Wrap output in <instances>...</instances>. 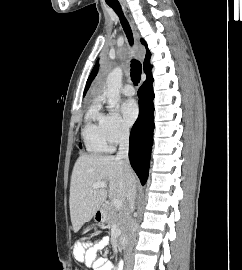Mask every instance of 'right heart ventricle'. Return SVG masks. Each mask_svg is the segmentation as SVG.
Here are the masks:
<instances>
[{
	"mask_svg": "<svg viewBox=\"0 0 242 270\" xmlns=\"http://www.w3.org/2000/svg\"><path fill=\"white\" fill-rule=\"evenodd\" d=\"M82 139L86 150L90 153L112 150V144L105 128V115L100 112L97 103H93L86 112Z\"/></svg>",
	"mask_w": 242,
	"mask_h": 270,
	"instance_id": "1",
	"label": "right heart ventricle"
}]
</instances>
